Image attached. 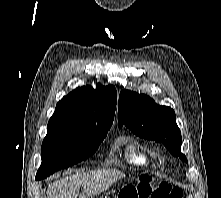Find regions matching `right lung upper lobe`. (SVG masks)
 <instances>
[{"instance_id":"obj_1","label":"right lung upper lobe","mask_w":221,"mask_h":198,"mask_svg":"<svg viewBox=\"0 0 221 198\" xmlns=\"http://www.w3.org/2000/svg\"><path fill=\"white\" fill-rule=\"evenodd\" d=\"M117 102L114 86L79 87L60 100L50 118L48 133L83 134L111 127Z\"/></svg>"}]
</instances>
